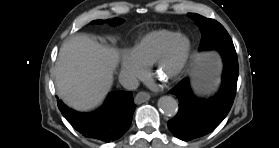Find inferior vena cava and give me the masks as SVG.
I'll list each match as a JSON object with an SVG mask.
<instances>
[{
	"label": "inferior vena cava",
	"mask_w": 279,
	"mask_h": 148,
	"mask_svg": "<svg viewBox=\"0 0 279 148\" xmlns=\"http://www.w3.org/2000/svg\"><path fill=\"white\" fill-rule=\"evenodd\" d=\"M119 82L127 90H135L139 86L138 79L134 75L126 72L120 73Z\"/></svg>",
	"instance_id": "1"
}]
</instances>
